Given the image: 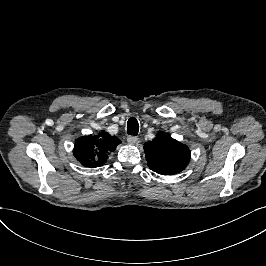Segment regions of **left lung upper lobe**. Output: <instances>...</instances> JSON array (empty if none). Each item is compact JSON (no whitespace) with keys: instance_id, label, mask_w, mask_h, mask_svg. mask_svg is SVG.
I'll return each mask as SVG.
<instances>
[{"instance_id":"1","label":"left lung upper lobe","mask_w":266,"mask_h":266,"mask_svg":"<svg viewBox=\"0 0 266 266\" xmlns=\"http://www.w3.org/2000/svg\"><path fill=\"white\" fill-rule=\"evenodd\" d=\"M144 151L149 168L163 175L179 173L190 160L189 148L163 132L146 142Z\"/></svg>"}]
</instances>
